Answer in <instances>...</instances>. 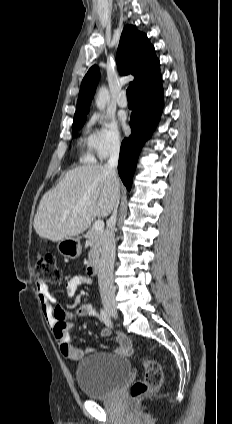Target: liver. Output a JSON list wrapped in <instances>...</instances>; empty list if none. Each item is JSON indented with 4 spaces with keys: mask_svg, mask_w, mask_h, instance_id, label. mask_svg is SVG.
Instances as JSON below:
<instances>
[{
    "mask_svg": "<svg viewBox=\"0 0 232 424\" xmlns=\"http://www.w3.org/2000/svg\"><path fill=\"white\" fill-rule=\"evenodd\" d=\"M114 193L115 186L105 166L76 167L42 197L34 229L41 238L53 242L77 236L87 230L96 216L111 214Z\"/></svg>",
    "mask_w": 232,
    "mask_h": 424,
    "instance_id": "1",
    "label": "liver"
}]
</instances>
